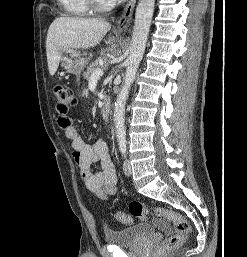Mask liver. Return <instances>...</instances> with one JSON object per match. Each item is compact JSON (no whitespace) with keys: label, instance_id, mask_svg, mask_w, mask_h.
Returning <instances> with one entry per match:
<instances>
[{"label":"liver","instance_id":"obj_1","mask_svg":"<svg viewBox=\"0 0 247 257\" xmlns=\"http://www.w3.org/2000/svg\"><path fill=\"white\" fill-rule=\"evenodd\" d=\"M111 24L102 19L58 17L50 25L46 39L48 69L53 76L61 55L68 49H89L98 45Z\"/></svg>","mask_w":247,"mask_h":257}]
</instances>
